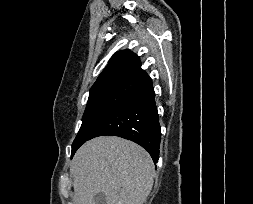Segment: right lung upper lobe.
Masks as SVG:
<instances>
[{
  "instance_id": "1",
  "label": "right lung upper lobe",
  "mask_w": 253,
  "mask_h": 204,
  "mask_svg": "<svg viewBox=\"0 0 253 204\" xmlns=\"http://www.w3.org/2000/svg\"><path fill=\"white\" fill-rule=\"evenodd\" d=\"M139 57L129 50L116 52L91 89L123 81L140 83L147 77Z\"/></svg>"
}]
</instances>
